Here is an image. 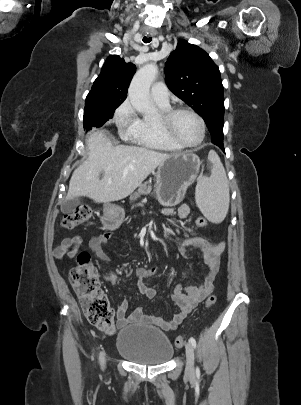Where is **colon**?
<instances>
[{"instance_id": "1", "label": "colon", "mask_w": 301, "mask_h": 405, "mask_svg": "<svg viewBox=\"0 0 301 405\" xmlns=\"http://www.w3.org/2000/svg\"><path fill=\"white\" fill-rule=\"evenodd\" d=\"M92 214L89 205H80L73 211L65 214L61 224L65 229H74L78 225L87 221ZM195 226L204 228L207 226V220L203 217L195 219ZM70 282L78 294L81 306L88 322L100 330L112 332L113 312L110 308L109 301L100 288L98 275L90 261V255L87 252H80L75 255L74 265L69 272ZM217 301L215 295H210L206 301L207 308L213 306ZM186 338L178 336L175 339V345L182 347Z\"/></svg>"}]
</instances>
